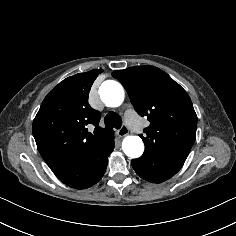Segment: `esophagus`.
<instances>
[{
	"instance_id": "obj_1",
	"label": "esophagus",
	"mask_w": 236,
	"mask_h": 236,
	"mask_svg": "<svg viewBox=\"0 0 236 236\" xmlns=\"http://www.w3.org/2000/svg\"><path fill=\"white\" fill-rule=\"evenodd\" d=\"M128 134V128L123 125L120 127V129L118 130V136L123 137L126 136Z\"/></svg>"
}]
</instances>
